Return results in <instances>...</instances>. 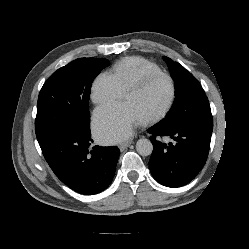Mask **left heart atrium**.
Returning a JSON list of instances; mask_svg holds the SVG:
<instances>
[{
    "mask_svg": "<svg viewBox=\"0 0 249 249\" xmlns=\"http://www.w3.org/2000/svg\"><path fill=\"white\" fill-rule=\"evenodd\" d=\"M140 120L129 104L114 103L95 111L93 129L100 141L116 143L129 137Z\"/></svg>",
    "mask_w": 249,
    "mask_h": 249,
    "instance_id": "obj_1",
    "label": "left heart atrium"
}]
</instances>
